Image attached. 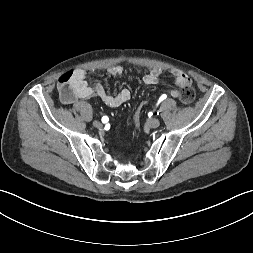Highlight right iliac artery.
Listing matches in <instances>:
<instances>
[{
  "instance_id": "82829eb1",
  "label": "right iliac artery",
  "mask_w": 253,
  "mask_h": 253,
  "mask_svg": "<svg viewBox=\"0 0 253 253\" xmlns=\"http://www.w3.org/2000/svg\"><path fill=\"white\" fill-rule=\"evenodd\" d=\"M107 121H108V117H107V116H104V117L102 118V122L106 123Z\"/></svg>"
}]
</instances>
